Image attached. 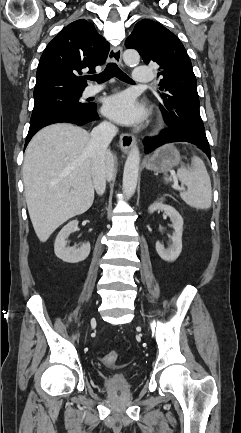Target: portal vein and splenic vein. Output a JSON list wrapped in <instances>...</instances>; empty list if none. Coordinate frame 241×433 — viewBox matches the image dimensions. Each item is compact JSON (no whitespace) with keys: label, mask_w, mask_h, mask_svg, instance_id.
<instances>
[{"label":"portal vein and splenic vein","mask_w":241,"mask_h":433,"mask_svg":"<svg viewBox=\"0 0 241 433\" xmlns=\"http://www.w3.org/2000/svg\"><path fill=\"white\" fill-rule=\"evenodd\" d=\"M172 188L176 189V190H184L183 186H179L178 183H174L172 185ZM71 193H73V191H71Z\"/></svg>","instance_id":"1"}]
</instances>
